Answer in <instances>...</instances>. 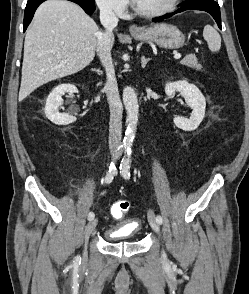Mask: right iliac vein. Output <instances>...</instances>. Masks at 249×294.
Instances as JSON below:
<instances>
[{
    "label": "right iliac vein",
    "instance_id": "1",
    "mask_svg": "<svg viewBox=\"0 0 249 294\" xmlns=\"http://www.w3.org/2000/svg\"><path fill=\"white\" fill-rule=\"evenodd\" d=\"M97 222H98L97 219H92L87 224V226L85 228V241H86V243L88 242V239H89L90 235L92 234V232L96 228ZM86 258H87V254H86V251H85L84 252V259H86Z\"/></svg>",
    "mask_w": 249,
    "mask_h": 294
}]
</instances>
